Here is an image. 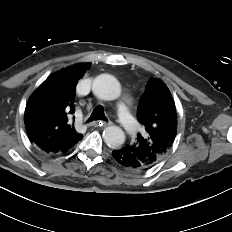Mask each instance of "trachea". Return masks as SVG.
<instances>
[{
    "label": "trachea",
    "instance_id": "trachea-1",
    "mask_svg": "<svg viewBox=\"0 0 232 232\" xmlns=\"http://www.w3.org/2000/svg\"><path fill=\"white\" fill-rule=\"evenodd\" d=\"M94 120H103V121H108L107 117L104 114V109L102 106H97L90 117L87 120V123L92 122Z\"/></svg>",
    "mask_w": 232,
    "mask_h": 232
}]
</instances>
